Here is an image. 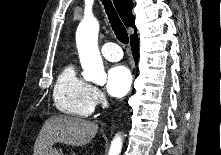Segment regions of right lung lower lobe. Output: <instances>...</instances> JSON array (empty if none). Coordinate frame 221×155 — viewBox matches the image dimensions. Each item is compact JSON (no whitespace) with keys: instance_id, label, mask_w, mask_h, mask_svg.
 <instances>
[{"instance_id":"1","label":"right lung lower lobe","mask_w":221,"mask_h":155,"mask_svg":"<svg viewBox=\"0 0 221 155\" xmlns=\"http://www.w3.org/2000/svg\"><path fill=\"white\" fill-rule=\"evenodd\" d=\"M131 47H132V53H133V56H134V60H135V62H137L139 46H138V38H137L136 34L131 37Z\"/></svg>"}]
</instances>
